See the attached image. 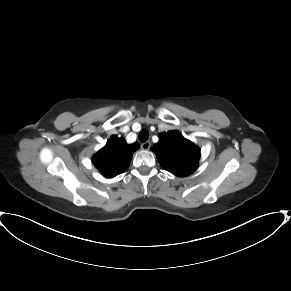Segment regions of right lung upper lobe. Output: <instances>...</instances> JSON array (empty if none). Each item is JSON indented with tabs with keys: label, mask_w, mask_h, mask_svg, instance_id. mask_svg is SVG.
Wrapping results in <instances>:
<instances>
[{
	"label": "right lung upper lobe",
	"mask_w": 291,
	"mask_h": 291,
	"mask_svg": "<svg viewBox=\"0 0 291 291\" xmlns=\"http://www.w3.org/2000/svg\"><path fill=\"white\" fill-rule=\"evenodd\" d=\"M138 143L128 145L123 138L112 136L92 158L93 164L106 178H113L128 168Z\"/></svg>",
	"instance_id": "1"
}]
</instances>
